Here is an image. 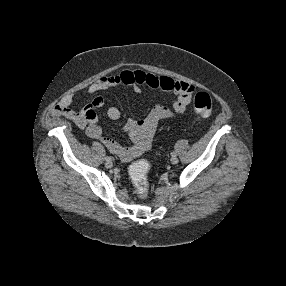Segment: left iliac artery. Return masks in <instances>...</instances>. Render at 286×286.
<instances>
[{"label":"left iliac artery","mask_w":286,"mask_h":286,"mask_svg":"<svg viewBox=\"0 0 286 286\" xmlns=\"http://www.w3.org/2000/svg\"><path fill=\"white\" fill-rule=\"evenodd\" d=\"M171 155H172V156H176V153H175V152H172Z\"/></svg>","instance_id":"left-iliac-artery-1"}]
</instances>
